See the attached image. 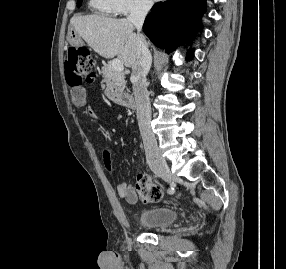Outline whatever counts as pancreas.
<instances>
[{
    "label": "pancreas",
    "instance_id": "pancreas-1",
    "mask_svg": "<svg viewBox=\"0 0 286 269\" xmlns=\"http://www.w3.org/2000/svg\"><path fill=\"white\" fill-rule=\"evenodd\" d=\"M102 87L105 88V95L112 101L119 103L124 96L126 87L125 75L122 71H117L111 64L102 68Z\"/></svg>",
    "mask_w": 286,
    "mask_h": 269
}]
</instances>
